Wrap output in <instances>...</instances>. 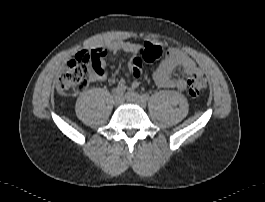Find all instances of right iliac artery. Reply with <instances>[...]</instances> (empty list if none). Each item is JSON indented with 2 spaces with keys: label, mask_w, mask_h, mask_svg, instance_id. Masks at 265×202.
<instances>
[{
  "label": "right iliac artery",
  "mask_w": 265,
  "mask_h": 202,
  "mask_svg": "<svg viewBox=\"0 0 265 202\" xmlns=\"http://www.w3.org/2000/svg\"><path fill=\"white\" fill-rule=\"evenodd\" d=\"M126 87L124 85H118L114 90H113V96H118V95H123Z\"/></svg>",
  "instance_id": "82829eb1"
}]
</instances>
